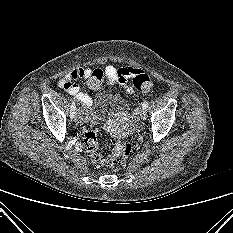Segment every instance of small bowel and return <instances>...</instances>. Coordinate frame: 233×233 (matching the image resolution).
Returning <instances> with one entry per match:
<instances>
[{"instance_id": "c3829d8e", "label": "small bowel", "mask_w": 233, "mask_h": 233, "mask_svg": "<svg viewBox=\"0 0 233 233\" xmlns=\"http://www.w3.org/2000/svg\"><path fill=\"white\" fill-rule=\"evenodd\" d=\"M93 72L90 68H76L66 74V76L60 81V86L66 90L69 94L73 95L78 102L83 106L89 107L92 104V98L84 91H81L78 84L75 83L77 79H87ZM104 74L110 79V84H120L128 92L132 89L127 86V81L133 78L139 73H143L142 70L133 67H121L116 68L112 65H108L104 69Z\"/></svg>"}]
</instances>
